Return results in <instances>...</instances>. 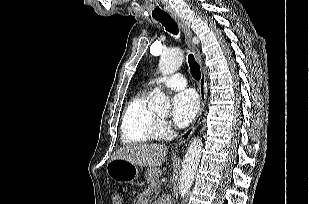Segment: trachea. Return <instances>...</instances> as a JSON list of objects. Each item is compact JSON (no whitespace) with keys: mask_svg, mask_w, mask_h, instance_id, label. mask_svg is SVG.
<instances>
[{"mask_svg":"<svg viewBox=\"0 0 309 204\" xmlns=\"http://www.w3.org/2000/svg\"><path fill=\"white\" fill-rule=\"evenodd\" d=\"M157 21H159L167 31H169L172 34L177 35L179 30L178 26L175 23V21L169 16V15H161L158 17H155ZM188 63L190 67V72L192 77L195 80H199L201 78V71L199 64L195 61V58L192 54H189L188 56Z\"/></svg>","mask_w":309,"mask_h":204,"instance_id":"trachea-1","label":"trachea"}]
</instances>
